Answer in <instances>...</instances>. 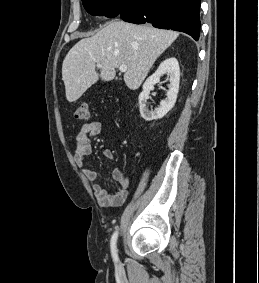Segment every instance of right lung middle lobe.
I'll use <instances>...</instances> for the list:
<instances>
[{"instance_id":"1","label":"right lung middle lobe","mask_w":259,"mask_h":283,"mask_svg":"<svg viewBox=\"0 0 259 283\" xmlns=\"http://www.w3.org/2000/svg\"><path fill=\"white\" fill-rule=\"evenodd\" d=\"M85 9L92 15L115 17L118 0H82Z\"/></svg>"}]
</instances>
